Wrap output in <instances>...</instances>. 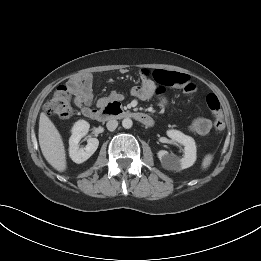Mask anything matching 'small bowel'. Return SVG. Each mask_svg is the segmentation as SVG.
I'll use <instances>...</instances> for the list:
<instances>
[{"label": "small bowel", "mask_w": 261, "mask_h": 261, "mask_svg": "<svg viewBox=\"0 0 261 261\" xmlns=\"http://www.w3.org/2000/svg\"><path fill=\"white\" fill-rule=\"evenodd\" d=\"M141 84L132 89V95L140 100H148L155 95H160L163 86H174L181 88L184 93L192 94L197 90V86L186 74L156 70L150 73L142 69L140 71ZM93 80L92 73H84L82 75L71 78L68 83V89L74 97V103L87 116L92 109L90 105L93 101ZM115 99H120V95H115ZM105 99H102L104 101ZM191 131L199 136L206 135L211 129V122L205 118L195 119L190 126Z\"/></svg>", "instance_id": "1"}]
</instances>
